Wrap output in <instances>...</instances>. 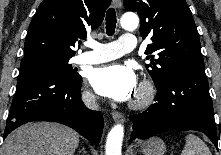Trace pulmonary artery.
Masks as SVG:
<instances>
[{"mask_svg": "<svg viewBox=\"0 0 221 155\" xmlns=\"http://www.w3.org/2000/svg\"><path fill=\"white\" fill-rule=\"evenodd\" d=\"M90 51L80 54L76 61L80 64H97L107 62L133 51L137 46V39L133 34H123L117 41L99 43L88 41L86 44Z\"/></svg>", "mask_w": 221, "mask_h": 155, "instance_id": "obj_1", "label": "pulmonary artery"}]
</instances>
